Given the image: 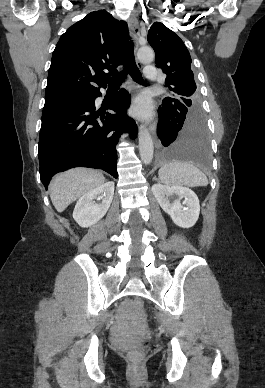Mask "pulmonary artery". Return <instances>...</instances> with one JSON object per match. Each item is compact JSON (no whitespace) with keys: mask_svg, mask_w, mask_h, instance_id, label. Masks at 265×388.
<instances>
[{"mask_svg":"<svg viewBox=\"0 0 265 388\" xmlns=\"http://www.w3.org/2000/svg\"><path fill=\"white\" fill-rule=\"evenodd\" d=\"M148 72H143V79H152L153 76H157V66L155 64H149L147 66Z\"/></svg>","mask_w":265,"mask_h":388,"instance_id":"pulmonary-artery-1","label":"pulmonary artery"}]
</instances>
